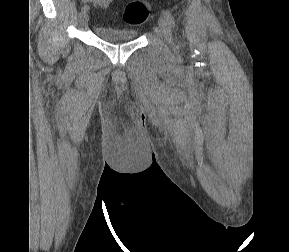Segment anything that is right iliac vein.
Listing matches in <instances>:
<instances>
[{"label":"right iliac vein","mask_w":289,"mask_h":252,"mask_svg":"<svg viewBox=\"0 0 289 252\" xmlns=\"http://www.w3.org/2000/svg\"><path fill=\"white\" fill-rule=\"evenodd\" d=\"M79 20H80L81 25H86L89 20L88 13L82 11L79 15Z\"/></svg>","instance_id":"63e3f726"}]
</instances>
